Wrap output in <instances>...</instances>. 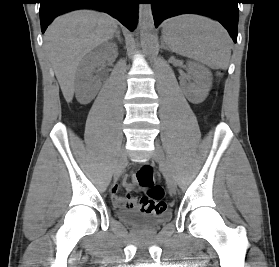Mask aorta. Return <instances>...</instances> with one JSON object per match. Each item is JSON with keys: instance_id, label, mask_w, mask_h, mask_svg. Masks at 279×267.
Listing matches in <instances>:
<instances>
[{"instance_id": "aorta-1", "label": "aorta", "mask_w": 279, "mask_h": 267, "mask_svg": "<svg viewBox=\"0 0 279 267\" xmlns=\"http://www.w3.org/2000/svg\"><path fill=\"white\" fill-rule=\"evenodd\" d=\"M139 29L141 43L150 49L154 42V20L150 3L139 4Z\"/></svg>"}]
</instances>
